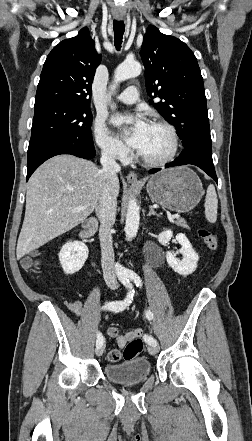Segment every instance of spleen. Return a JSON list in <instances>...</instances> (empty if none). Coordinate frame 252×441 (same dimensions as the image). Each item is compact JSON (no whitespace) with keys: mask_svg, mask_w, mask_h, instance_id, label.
Segmentation results:
<instances>
[{"mask_svg":"<svg viewBox=\"0 0 252 441\" xmlns=\"http://www.w3.org/2000/svg\"><path fill=\"white\" fill-rule=\"evenodd\" d=\"M205 217L210 223L217 220L218 199L214 185H209L205 198Z\"/></svg>","mask_w":252,"mask_h":441,"instance_id":"obj_1","label":"spleen"}]
</instances>
